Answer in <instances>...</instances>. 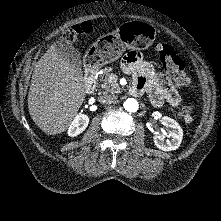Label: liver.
<instances>
[{
  "label": "liver",
  "mask_w": 221,
  "mask_h": 221,
  "mask_svg": "<svg viewBox=\"0 0 221 221\" xmlns=\"http://www.w3.org/2000/svg\"><path fill=\"white\" fill-rule=\"evenodd\" d=\"M81 68L59 56L54 44L37 62L28 93L29 114L46 134L67 130L85 101Z\"/></svg>",
  "instance_id": "liver-1"
}]
</instances>
